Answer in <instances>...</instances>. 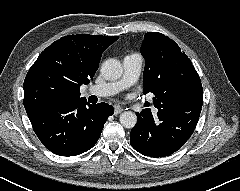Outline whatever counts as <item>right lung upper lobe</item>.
Returning <instances> with one entry per match:
<instances>
[{
    "label": "right lung upper lobe",
    "instance_id": "cb5924a9",
    "mask_svg": "<svg viewBox=\"0 0 240 191\" xmlns=\"http://www.w3.org/2000/svg\"><path fill=\"white\" fill-rule=\"evenodd\" d=\"M117 39L118 36L78 34L53 42L27 73L24 107L62 99H82L80 86L93 78L102 52Z\"/></svg>",
    "mask_w": 240,
    "mask_h": 191
}]
</instances>
